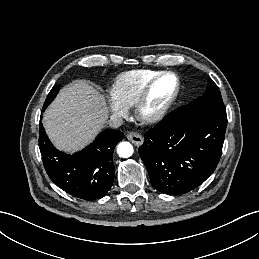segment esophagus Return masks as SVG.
I'll use <instances>...</instances> for the list:
<instances>
[{
  "label": "esophagus",
  "mask_w": 259,
  "mask_h": 259,
  "mask_svg": "<svg viewBox=\"0 0 259 259\" xmlns=\"http://www.w3.org/2000/svg\"><path fill=\"white\" fill-rule=\"evenodd\" d=\"M127 138L136 146H140L143 143V137L137 132L128 133Z\"/></svg>",
  "instance_id": "obj_1"
}]
</instances>
